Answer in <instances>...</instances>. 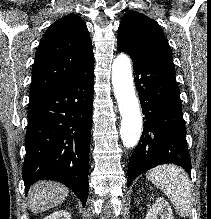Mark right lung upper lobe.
I'll use <instances>...</instances> for the list:
<instances>
[{
  "label": "right lung upper lobe",
  "instance_id": "right-lung-upper-lobe-1",
  "mask_svg": "<svg viewBox=\"0 0 211 219\" xmlns=\"http://www.w3.org/2000/svg\"><path fill=\"white\" fill-rule=\"evenodd\" d=\"M94 65L88 29L81 18L69 14L43 35L32 70L30 98L44 94Z\"/></svg>",
  "mask_w": 211,
  "mask_h": 219
}]
</instances>
